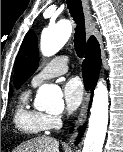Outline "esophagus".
I'll return each instance as SVG.
<instances>
[{
	"mask_svg": "<svg viewBox=\"0 0 123 152\" xmlns=\"http://www.w3.org/2000/svg\"><path fill=\"white\" fill-rule=\"evenodd\" d=\"M81 1H82V7H83V12H84V17H85V26H86V28H88L92 24V12L90 9L89 0H81ZM89 101H90V90L88 89L85 92L84 100H83L82 107H81V112L76 121L74 131L70 136L69 143H73V141L75 140V138L78 135L77 129L79 127L83 126L86 121Z\"/></svg>",
	"mask_w": 123,
	"mask_h": 152,
	"instance_id": "obj_1",
	"label": "esophagus"
}]
</instances>
